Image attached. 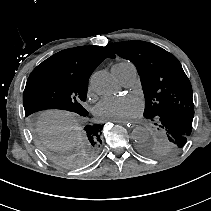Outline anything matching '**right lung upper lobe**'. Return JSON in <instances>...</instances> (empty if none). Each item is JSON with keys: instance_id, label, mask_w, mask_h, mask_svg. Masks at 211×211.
Returning a JSON list of instances; mask_svg holds the SVG:
<instances>
[{"instance_id": "1", "label": "right lung upper lobe", "mask_w": 211, "mask_h": 211, "mask_svg": "<svg viewBox=\"0 0 211 211\" xmlns=\"http://www.w3.org/2000/svg\"><path fill=\"white\" fill-rule=\"evenodd\" d=\"M115 58L107 47L82 46L62 50L39 64L34 70L69 74L89 79L105 58Z\"/></svg>"}]
</instances>
